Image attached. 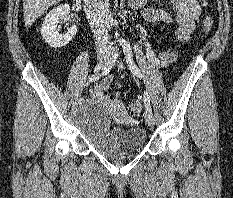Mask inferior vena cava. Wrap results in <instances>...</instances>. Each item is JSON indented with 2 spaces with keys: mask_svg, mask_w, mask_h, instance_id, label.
I'll use <instances>...</instances> for the list:
<instances>
[{
  "mask_svg": "<svg viewBox=\"0 0 233 198\" xmlns=\"http://www.w3.org/2000/svg\"><path fill=\"white\" fill-rule=\"evenodd\" d=\"M84 4L86 17L94 34L97 51L111 50L112 44L105 26L101 0H84Z\"/></svg>",
  "mask_w": 233,
  "mask_h": 198,
  "instance_id": "obj_1",
  "label": "inferior vena cava"
}]
</instances>
